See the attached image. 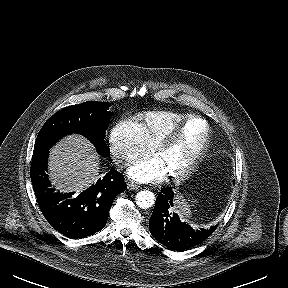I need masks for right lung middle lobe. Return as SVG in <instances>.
<instances>
[{
    "label": "right lung middle lobe",
    "mask_w": 288,
    "mask_h": 288,
    "mask_svg": "<svg viewBox=\"0 0 288 288\" xmlns=\"http://www.w3.org/2000/svg\"><path fill=\"white\" fill-rule=\"evenodd\" d=\"M109 105L107 102L88 101L59 110L41 128L34 152L49 149L64 135L80 133L95 145L101 156H108L105 130L111 116V112L108 111Z\"/></svg>",
    "instance_id": "right-lung-middle-lobe-1"
}]
</instances>
